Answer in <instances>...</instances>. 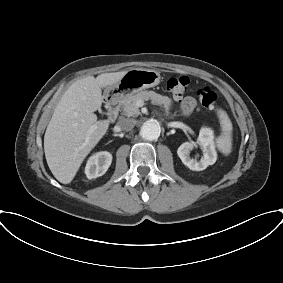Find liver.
Wrapping results in <instances>:
<instances>
[{"label": "liver", "instance_id": "liver-1", "mask_svg": "<svg viewBox=\"0 0 283 283\" xmlns=\"http://www.w3.org/2000/svg\"><path fill=\"white\" fill-rule=\"evenodd\" d=\"M127 71L87 76L75 81L57 104L44 135V152L54 177L69 184L86 156L105 135L108 120L94 112L103 102L102 88L117 83Z\"/></svg>", "mask_w": 283, "mask_h": 283}]
</instances>
